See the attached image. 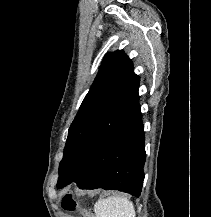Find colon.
I'll return each instance as SVG.
<instances>
[{
    "instance_id": "5ec220e1",
    "label": "colon",
    "mask_w": 211,
    "mask_h": 217,
    "mask_svg": "<svg viewBox=\"0 0 211 217\" xmlns=\"http://www.w3.org/2000/svg\"><path fill=\"white\" fill-rule=\"evenodd\" d=\"M62 207L69 212H74L77 210V203L74 200V198L72 197V195L67 194L63 197L62 199ZM83 217H94L92 214L86 212V211H82L81 212Z\"/></svg>"
}]
</instances>
